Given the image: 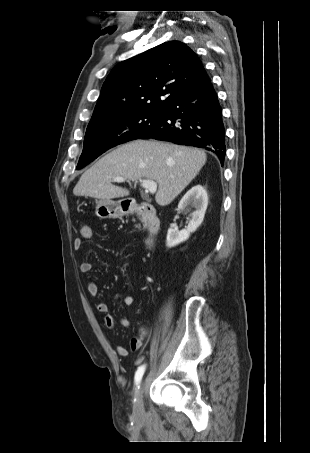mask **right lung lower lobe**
<instances>
[{
    "mask_svg": "<svg viewBox=\"0 0 310 453\" xmlns=\"http://www.w3.org/2000/svg\"><path fill=\"white\" fill-rule=\"evenodd\" d=\"M150 138L204 148L216 154L223 165L226 146L222 109L206 71L164 107L159 123L139 137Z\"/></svg>",
    "mask_w": 310,
    "mask_h": 453,
    "instance_id": "98d812e1",
    "label": "right lung lower lobe"
}]
</instances>
